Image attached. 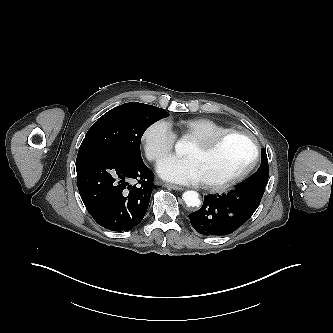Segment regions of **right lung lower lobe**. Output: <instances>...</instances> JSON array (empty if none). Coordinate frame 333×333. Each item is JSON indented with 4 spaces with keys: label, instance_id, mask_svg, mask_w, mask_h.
Masks as SVG:
<instances>
[{
    "label": "right lung lower lobe",
    "instance_id": "right-lung-lower-lobe-1",
    "mask_svg": "<svg viewBox=\"0 0 333 333\" xmlns=\"http://www.w3.org/2000/svg\"><path fill=\"white\" fill-rule=\"evenodd\" d=\"M76 171L80 196L99 225L129 231L142 221L156 188L142 159L107 150L78 152ZM134 180L138 185L130 184Z\"/></svg>",
    "mask_w": 333,
    "mask_h": 333
}]
</instances>
